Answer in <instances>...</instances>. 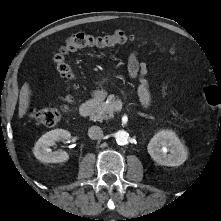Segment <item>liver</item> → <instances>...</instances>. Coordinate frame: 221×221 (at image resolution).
<instances>
[{
	"mask_svg": "<svg viewBox=\"0 0 221 221\" xmlns=\"http://www.w3.org/2000/svg\"><path fill=\"white\" fill-rule=\"evenodd\" d=\"M30 95L31 91L29 89V85L28 83H25L22 86L19 95V112H18L19 118H22L26 114L27 109L29 108Z\"/></svg>",
	"mask_w": 221,
	"mask_h": 221,
	"instance_id": "obj_1",
	"label": "liver"
}]
</instances>
